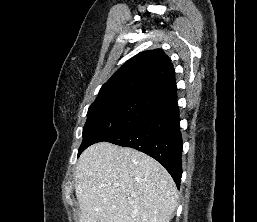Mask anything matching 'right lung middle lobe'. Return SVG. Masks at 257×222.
<instances>
[{
  "label": "right lung middle lobe",
  "instance_id": "obj_1",
  "mask_svg": "<svg viewBox=\"0 0 257 222\" xmlns=\"http://www.w3.org/2000/svg\"><path fill=\"white\" fill-rule=\"evenodd\" d=\"M160 108L159 104L141 98L95 100L88 109L78 156L91 144L107 141Z\"/></svg>",
  "mask_w": 257,
  "mask_h": 222
}]
</instances>
